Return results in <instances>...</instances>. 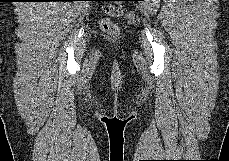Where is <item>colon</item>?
I'll list each match as a JSON object with an SVG mask.
<instances>
[{"mask_svg": "<svg viewBox=\"0 0 229 161\" xmlns=\"http://www.w3.org/2000/svg\"><path fill=\"white\" fill-rule=\"evenodd\" d=\"M104 11L107 16L100 21L101 30L109 35L117 36L120 32L119 27L111 20L110 16L122 12V9L116 5L109 4L104 7Z\"/></svg>", "mask_w": 229, "mask_h": 161, "instance_id": "colon-1", "label": "colon"}]
</instances>
